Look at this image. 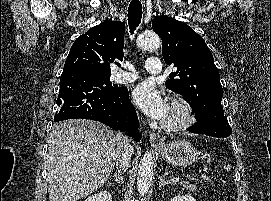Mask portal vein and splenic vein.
<instances>
[{"label": "portal vein and splenic vein", "instance_id": "portal-vein-and-splenic-vein-1", "mask_svg": "<svg viewBox=\"0 0 271 201\" xmlns=\"http://www.w3.org/2000/svg\"><path fill=\"white\" fill-rule=\"evenodd\" d=\"M180 178L176 177V178H171V182H179Z\"/></svg>", "mask_w": 271, "mask_h": 201}]
</instances>
